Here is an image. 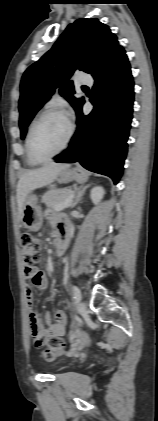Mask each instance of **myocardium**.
I'll list each match as a JSON object with an SVG mask.
<instances>
[{
    "mask_svg": "<svg viewBox=\"0 0 158 421\" xmlns=\"http://www.w3.org/2000/svg\"><path fill=\"white\" fill-rule=\"evenodd\" d=\"M53 114H57V115H62L64 116L67 121H68V126H69V131H68V135L64 141V143L62 144V146L56 151L54 152L52 155L46 157V158H39L35 155L34 151H33V147H32V141H33V135L34 132L36 130V128L38 127V125L48 116L53 115ZM74 135V125L71 121V119L69 118V116L67 115V113L59 108H50L47 109L45 111H43L37 118L36 120L33 122L30 130H29V134H28V138H27V149H28V153L31 157V159L38 163H46L49 162L50 160H52L54 157H56L57 155H59L61 152H63L69 145L70 141L72 140V137Z\"/></svg>",
    "mask_w": 158,
    "mask_h": 421,
    "instance_id": "1",
    "label": "myocardium"
}]
</instances>
